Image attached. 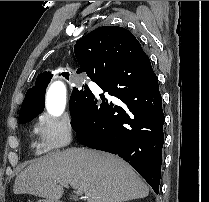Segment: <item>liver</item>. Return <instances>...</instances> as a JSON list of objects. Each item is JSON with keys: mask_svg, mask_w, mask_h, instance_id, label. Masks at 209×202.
I'll return each mask as SVG.
<instances>
[{"mask_svg": "<svg viewBox=\"0 0 209 202\" xmlns=\"http://www.w3.org/2000/svg\"><path fill=\"white\" fill-rule=\"evenodd\" d=\"M56 181L81 189L87 202H124L149 194L148 186L125 161L84 147L37 159L17 175L13 193L57 201L64 189Z\"/></svg>", "mask_w": 209, "mask_h": 202, "instance_id": "6515ba94", "label": "liver"}]
</instances>
